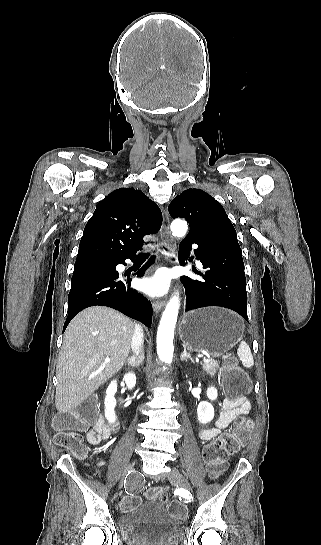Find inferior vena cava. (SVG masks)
<instances>
[{"label":"inferior vena cava","instance_id":"602c4592","mask_svg":"<svg viewBox=\"0 0 321 545\" xmlns=\"http://www.w3.org/2000/svg\"><path fill=\"white\" fill-rule=\"evenodd\" d=\"M134 335L132 337V351L136 357H141V353H143V329L140 327V325H135L134 327Z\"/></svg>","mask_w":321,"mask_h":545}]
</instances>
